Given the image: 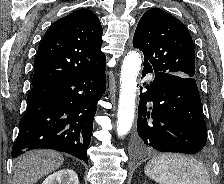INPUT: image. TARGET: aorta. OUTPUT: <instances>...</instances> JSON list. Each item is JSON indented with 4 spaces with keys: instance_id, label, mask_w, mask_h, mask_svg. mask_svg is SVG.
<instances>
[{
    "instance_id": "1",
    "label": "aorta",
    "mask_w": 224,
    "mask_h": 184,
    "mask_svg": "<svg viewBox=\"0 0 224 184\" xmlns=\"http://www.w3.org/2000/svg\"><path fill=\"white\" fill-rule=\"evenodd\" d=\"M141 63V56L136 51L128 52L122 63L117 114V134L121 137L128 134L134 120L137 77Z\"/></svg>"
}]
</instances>
